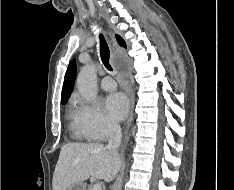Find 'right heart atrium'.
Returning a JSON list of instances; mask_svg holds the SVG:
<instances>
[{
  "label": "right heart atrium",
  "instance_id": "1",
  "mask_svg": "<svg viewBox=\"0 0 234 190\" xmlns=\"http://www.w3.org/2000/svg\"><path fill=\"white\" fill-rule=\"evenodd\" d=\"M74 120L78 131L86 138L103 141L118 130V125L102 111L97 103L74 98Z\"/></svg>",
  "mask_w": 234,
  "mask_h": 190
}]
</instances>
